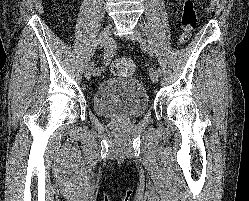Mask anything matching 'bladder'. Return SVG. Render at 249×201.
<instances>
[{"mask_svg": "<svg viewBox=\"0 0 249 201\" xmlns=\"http://www.w3.org/2000/svg\"><path fill=\"white\" fill-rule=\"evenodd\" d=\"M148 105L143 85L130 76L102 81L93 95L94 111L107 118L134 119L143 115Z\"/></svg>", "mask_w": 249, "mask_h": 201, "instance_id": "obj_1", "label": "bladder"}]
</instances>
